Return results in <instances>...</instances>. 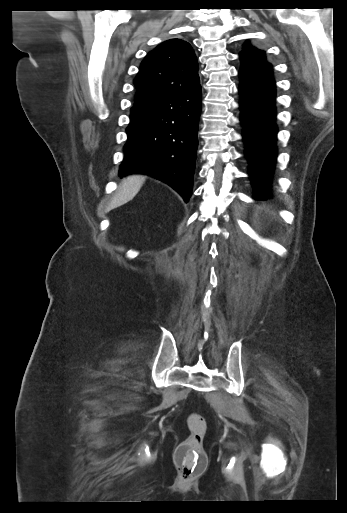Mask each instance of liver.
<instances>
[{
  "label": "liver",
  "mask_w": 347,
  "mask_h": 513,
  "mask_svg": "<svg viewBox=\"0 0 347 513\" xmlns=\"http://www.w3.org/2000/svg\"><path fill=\"white\" fill-rule=\"evenodd\" d=\"M145 181L142 175H132L125 178L118 188L117 194L111 201L108 210L117 208L131 201L139 192Z\"/></svg>",
  "instance_id": "liver-1"
}]
</instances>
